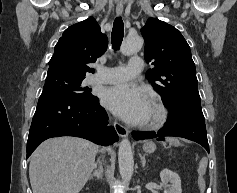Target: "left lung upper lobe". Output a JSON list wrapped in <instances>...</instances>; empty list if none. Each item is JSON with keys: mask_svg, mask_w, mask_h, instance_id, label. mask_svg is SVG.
<instances>
[{"mask_svg": "<svg viewBox=\"0 0 237 193\" xmlns=\"http://www.w3.org/2000/svg\"><path fill=\"white\" fill-rule=\"evenodd\" d=\"M145 40L144 56L155 67L146 77L171 109L170 118L202 113L196 68L188 43L175 27L149 18L141 29Z\"/></svg>", "mask_w": 237, "mask_h": 193, "instance_id": "left-lung-upper-lobe-1", "label": "left lung upper lobe"}]
</instances>
